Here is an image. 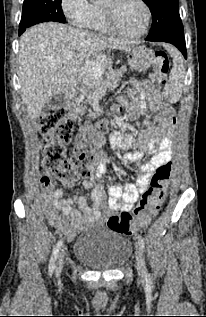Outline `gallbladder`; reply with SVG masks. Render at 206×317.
Returning <instances> with one entry per match:
<instances>
[{
	"label": "gallbladder",
	"instance_id": "1",
	"mask_svg": "<svg viewBox=\"0 0 206 317\" xmlns=\"http://www.w3.org/2000/svg\"><path fill=\"white\" fill-rule=\"evenodd\" d=\"M65 103V97L62 93L54 95L47 102L48 106L52 109H58L62 107Z\"/></svg>",
	"mask_w": 206,
	"mask_h": 317
}]
</instances>
